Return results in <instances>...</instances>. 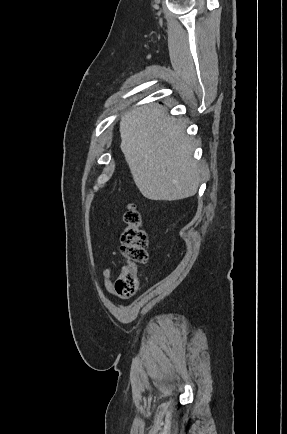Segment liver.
Listing matches in <instances>:
<instances>
[{"mask_svg": "<svg viewBox=\"0 0 287 434\" xmlns=\"http://www.w3.org/2000/svg\"><path fill=\"white\" fill-rule=\"evenodd\" d=\"M122 151L141 194L175 201L196 194L201 169L181 121L151 103L121 117Z\"/></svg>", "mask_w": 287, "mask_h": 434, "instance_id": "6515ba94", "label": "liver"}]
</instances>
